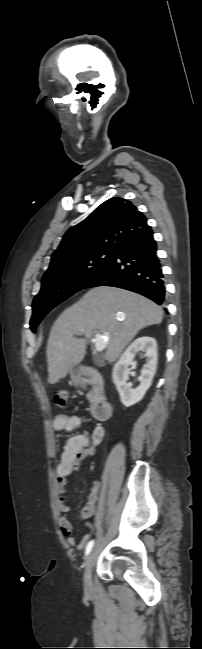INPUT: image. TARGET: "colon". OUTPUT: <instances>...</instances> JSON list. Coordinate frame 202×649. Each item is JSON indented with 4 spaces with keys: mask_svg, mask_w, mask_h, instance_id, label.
<instances>
[{
    "mask_svg": "<svg viewBox=\"0 0 202 649\" xmlns=\"http://www.w3.org/2000/svg\"><path fill=\"white\" fill-rule=\"evenodd\" d=\"M68 399V393L65 390H60L55 393V403L60 406L64 407L67 403Z\"/></svg>",
    "mask_w": 202,
    "mask_h": 649,
    "instance_id": "obj_1",
    "label": "colon"
}]
</instances>
